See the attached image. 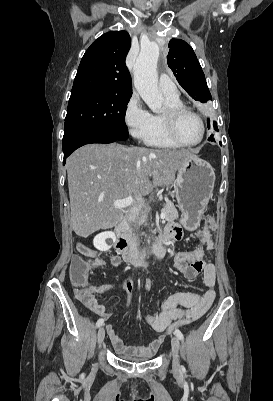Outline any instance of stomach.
<instances>
[{
  "instance_id": "stomach-1",
  "label": "stomach",
  "mask_w": 273,
  "mask_h": 401,
  "mask_svg": "<svg viewBox=\"0 0 273 401\" xmlns=\"http://www.w3.org/2000/svg\"><path fill=\"white\" fill-rule=\"evenodd\" d=\"M215 172L207 160H186L178 168L175 196L182 213L179 223L186 231L200 227L204 211L213 194Z\"/></svg>"
}]
</instances>
